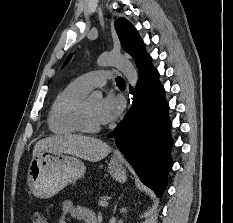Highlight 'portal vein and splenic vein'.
<instances>
[{"label": "portal vein and splenic vein", "mask_w": 233, "mask_h": 223, "mask_svg": "<svg viewBox=\"0 0 233 223\" xmlns=\"http://www.w3.org/2000/svg\"><path fill=\"white\" fill-rule=\"evenodd\" d=\"M99 204H101V206H108V201H101Z\"/></svg>", "instance_id": "1"}]
</instances>
